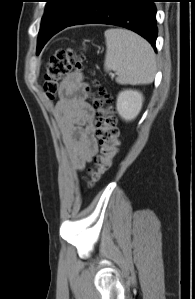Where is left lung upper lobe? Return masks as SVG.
Here are the masks:
<instances>
[{"label":"left lung upper lobe","instance_id":"left-lung-upper-lobe-1","mask_svg":"<svg viewBox=\"0 0 195 299\" xmlns=\"http://www.w3.org/2000/svg\"><path fill=\"white\" fill-rule=\"evenodd\" d=\"M46 10L41 21L37 53L49 40L51 32L66 28L82 12L89 0H46Z\"/></svg>","mask_w":195,"mask_h":299}]
</instances>
